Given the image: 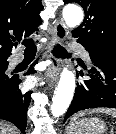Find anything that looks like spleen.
<instances>
[{
    "label": "spleen",
    "mask_w": 116,
    "mask_h": 134,
    "mask_svg": "<svg viewBox=\"0 0 116 134\" xmlns=\"http://www.w3.org/2000/svg\"><path fill=\"white\" fill-rule=\"evenodd\" d=\"M91 112H101V113H105V114L111 115L116 118V110H114V109L101 108V109H94ZM84 114H85V112L78 113L77 115H75L73 117V120L77 119L79 116H83Z\"/></svg>",
    "instance_id": "3e777b00"
}]
</instances>
